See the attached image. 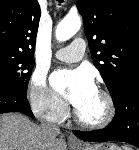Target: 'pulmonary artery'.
<instances>
[{
  "mask_svg": "<svg viewBox=\"0 0 139 150\" xmlns=\"http://www.w3.org/2000/svg\"><path fill=\"white\" fill-rule=\"evenodd\" d=\"M85 52V42L81 38L75 39L69 46L55 52V57L64 62H77Z\"/></svg>",
  "mask_w": 139,
  "mask_h": 150,
  "instance_id": "pulmonary-artery-1",
  "label": "pulmonary artery"
}]
</instances>
